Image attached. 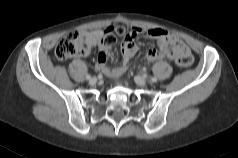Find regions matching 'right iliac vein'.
I'll return each instance as SVG.
<instances>
[{"label":"right iliac vein","instance_id":"right-iliac-vein-1","mask_svg":"<svg viewBox=\"0 0 238 158\" xmlns=\"http://www.w3.org/2000/svg\"><path fill=\"white\" fill-rule=\"evenodd\" d=\"M89 83H90L91 85L96 84V83H97V78H95V77L90 78Z\"/></svg>","mask_w":238,"mask_h":158}]
</instances>
